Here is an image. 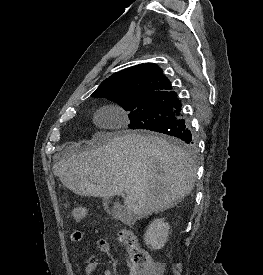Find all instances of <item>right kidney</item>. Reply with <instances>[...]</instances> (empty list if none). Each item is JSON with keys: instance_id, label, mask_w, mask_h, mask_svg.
<instances>
[{"instance_id": "ca27d5eb", "label": "right kidney", "mask_w": 263, "mask_h": 275, "mask_svg": "<svg viewBox=\"0 0 263 275\" xmlns=\"http://www.w3.org/2000/svg\"><path fill=\"white\" fill-rule=\"evenodd\" d=\"M169 230L170 226L164 222V219H155L144 234L146 245L154 250L161 249L167 241Z\"/></svg>"}]
</instances>
